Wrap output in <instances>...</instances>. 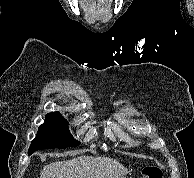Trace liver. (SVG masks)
<instances>
[{
	"mask_svg": "<svg viewBox=\"0 0 194 178\" xmlns=\"http://www.w3.org/2000/svg\"><path fill=\"white\" fill-rule=\"evenodd\" d=\"M127 173L128 170L115 159L80 156L45 166L40 178H122Z\"/></svg>",
	"mask_w": 194,
	"mask_h": 178,
	"instance_id": "1",
	"label": "liver"
}]
</instances>
